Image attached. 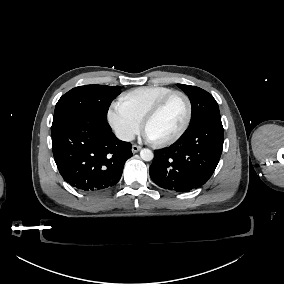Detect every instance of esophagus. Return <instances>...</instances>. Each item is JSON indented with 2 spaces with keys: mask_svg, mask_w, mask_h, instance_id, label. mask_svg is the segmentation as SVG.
<instances>
[{
  "mask_svg": "<svg viewBox=\"0 0 284 284\" xmlns=\"http://www.w3.org/2000/svg\"><path fill=\"white\" fill-rule=\"evenodd\" d=\"M140 150H141V146L136 145V144L132 145V152H133V154L137 153Z\"/></svg>",
  "mask_w": 284,
  "mask_h": 284,
  "instance_id": "34e87169",
  "label": "esophagus"
}]
</instances>
